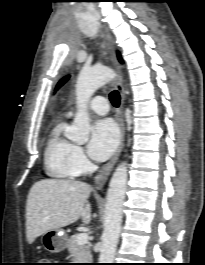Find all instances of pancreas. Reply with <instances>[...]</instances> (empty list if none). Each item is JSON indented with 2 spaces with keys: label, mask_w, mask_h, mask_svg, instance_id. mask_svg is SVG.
Masks as SVG:
<instances>
[{
  "label": "pancreas",
  "mask_w": 205,
  "mask_h": 265,
  "mask_svg": "<svg viewBox=\"0 0 205 265\" xmlns=\"http://www.w3.org/2000/svg\"><path fill=\"white\" fill-rule=\"evenodd\" d=\"M68 251L74 263H89L91 260V251L89 244L79 245L77 243V234L72 235L67 242Z\"/></svg>",
  "instance_id": "pancreas-1"
}]
</instances>
